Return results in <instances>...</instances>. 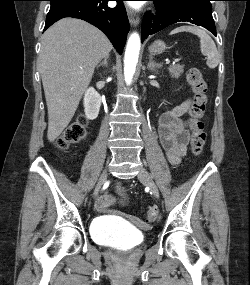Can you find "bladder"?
<instances>
[{
	"label": "bladder",
	"mask_w": 250,
	"mask_h": 285,
	"mask_svg": "<svg viewBox=\"0 0 250 285\" xmlns=\"http://www.w3.org/2000/svg\"><path fill=\"white\" fill-rule=\"evenodd\" d=\"M91 234L96 242L118 249H131L144 240L139 230L115 223L105 217L96 219L91 226Z\"/></svg>",
	"instance_id": "obj_1"
}]
</instances>
